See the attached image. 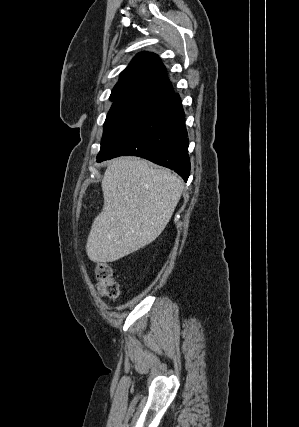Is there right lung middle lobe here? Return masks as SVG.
Instances as JSON below:
<instances>
[{
  "label": "right lung middle lobe",
  "mask_w": 299,
  "mask_h": 427,
  "mask_svg": "<svg viewBox=\"0 0 299 427\" xmlns=\"http://www.w3.org/2000/svg\"><path fill=\"white\" fill-rule=\"evenodd\" d=\"M112 101L114 103L104 123L99 153H103L112 146L154 105L152 101L133 98L114 99Z\"/></svg>",
  "instance_id": "right-lung-middle-lobe-1"
}]
</instances>
